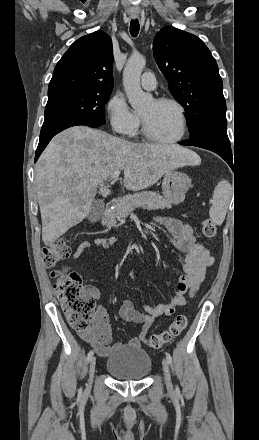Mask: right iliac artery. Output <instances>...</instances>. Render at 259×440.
<instances>
[{
  "instance_id": "obj_1",
  "label": "right iliac artery",
  "mask_w": 259,
  "mask_h": 440,
  "mask_svg": "<svg viewBox=\"0 0 259 440\" xmlns=\"http://www.w3.org/2000/svg\"><path fill=\"white\" fill-rule=\"evenodd\" d=\"M92 356H93V351L90 350L89 353L87 354V358H86L87 362H89L91 360Z\"/></svg>"
}]
</instances>
